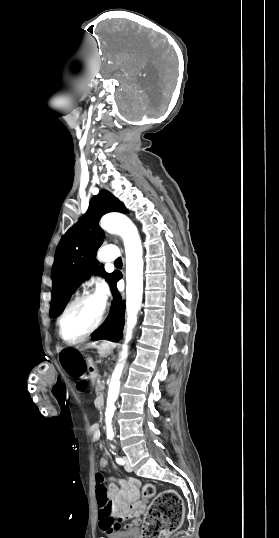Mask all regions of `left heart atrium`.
Segmentation results:
<instances>
[{
	"mask_svg": "<svg viewBox=\"0 0 279 538\" xmlns=\"http://www.w3.org/2000/svg\"><path fill=\"white\" fill-rule=\"evenodd\" d=\"M97 298L99 299L102 305L107 303V300L110 296V289L108 284L105 281H100L97 285Z\"/></svg>",
	"mask_w": 279,
	"mask_h": 538,
	"instance_id": "39dd6f15",
	"label": "left heart atrium"
}]
</instances>
